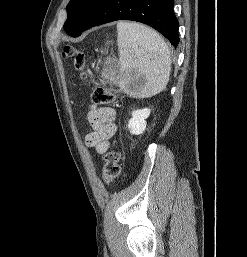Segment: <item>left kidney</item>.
<instances>
[{
    "mask_svg": "<svg viewBox=\"0 0 247 257\" xmlns=\"http://www.w3.org/2000/svg\"><path fill=\"white\" fill-rule=\"evenodd\" d=\"M150 115V109H138L132 112V118L128 122V128L131 134L139 135L145 131L146 119Z\"/></svg>",
    "mask_w": 247,
    "mask_h": 257,
    "instance_id": "obj_1",
    "label": "left kidney"
}]
</instances>
